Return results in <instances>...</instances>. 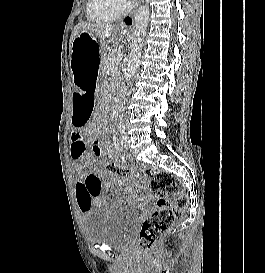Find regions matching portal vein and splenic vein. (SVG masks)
I'll use <instances>...</instances> for the list:
<instances>
[{"mask_svg": "<svg viewBox=\"0 0 265 273\" xmlns=\"http://www.w3.org/2000/svg\"><path fill=\"white\" fill-rule=\"evenodd\" d=\"M114 71H117V67L116 66H113L110 68L109 72H114Z\"/></svg>", "mask_w": 265, "mask_h": 273, "instance_id": "obj_1", "label": "portal vein and splenic vein"}]
</instances>
